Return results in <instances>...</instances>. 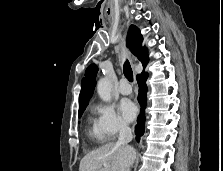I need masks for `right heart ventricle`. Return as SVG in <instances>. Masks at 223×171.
Listing matches in <instances>:
<instances>
[{
	"label": "right heart ventricle",
	"instance_id": "right-heart-ventricle-1",
	"mask_svg": "<svg viewBox=\"0 0 223 171\" xmlns=\"http://www.w3.org/2000/svg\"><path fill=\"white\" fill-rule=\"evenodd\" d=\"M88 122L89 124H91V128L89 129V132H88L89 136L95 140H99V141L103 140L95 128V121L91 117H89Z\"/></svg>",
	"mask_w": 223,
	"mask_h": 171
}]
</instances>
